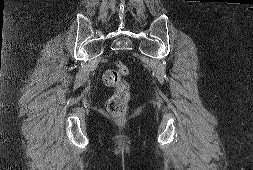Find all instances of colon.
Returning <instances> with one entry per match:
<instances>
[{"label":"colon","mask_w":253,"mask_h":170,"mask_svg":"<svg viewBox=\"0 0 253 170\" xmlns=\"http://www.w3.org/2000/svg\"><path fill=\"white\" fill-rule=\"evenodd\" d=\"M127 74L128 67L122 62H117L116 67L108 70L103 76L106 85L117 88V93L107 103L109 113L115 117L122 116L126 111L129 100V89L123 78Z\"/></svg>","instance_id":"5ec220e1"}]
</instances>
